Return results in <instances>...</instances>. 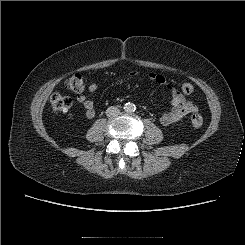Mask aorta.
I'll list each match as a JSON object with an SVG mask.
<instances>
[{
  "mask_svg": "<svg viewBox=\"0 0 245 245\" xmlns=\"http://www.w3.org/2000/svg\"><path fill=\"white\" fill-rule=\"evenodd\" d=\"M135 109H136V106L133 103L128 102L124 105V111L127 113L134 112Z\"/></svg>",
  "mask_w": 245,
  "mask_h": 245,
  "instance_id": "aorta-1",
  "label": "aorta"
}]
</instances>
